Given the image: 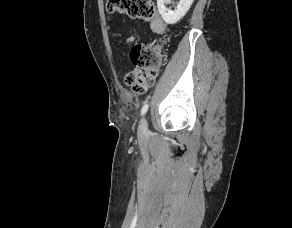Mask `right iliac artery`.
Returning <instances> with one entry per match:
<instances>
[{"instance_id":"82829eb1","label":"right iliac artery","mask_w":292,"mask_h":228,"mask_svg":"<svg viewBox=\"0 0 292 228\" xmlns=\"http://www.w3.org/2000/svg\"><path fill=\"white\" fill-rule=\"evenodd\" d=\"M148 110V104H145L141 109V115H144Z\"/></svg>"}]
</instances>
